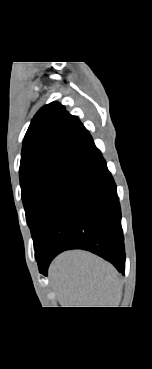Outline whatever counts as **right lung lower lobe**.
I'll return each instance as SVG.
<instances>
[{"instance_id":"1","label":"right lung lower lobe","mask_w":152,"mask_h":369,"mask_svg":"<svg viewBox=\"0 0 152 369\" xmlns=\"http://www.w3.org/2000/svg\"><path fill=\"white\" fill-rule=\"evenodd\" d=\"M68 249H84L125 270L124 237L116 185L95 148L68 179L35 248L44 275L51 260Z\"/></svg>"}]
</instances>
